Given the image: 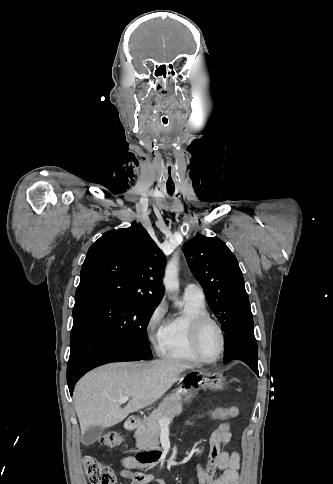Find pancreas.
Returning <instances> with one entry per match:
<instances>
[{
    "label": "pancreas",
    "mask_w": 333,
    "mask_h": 484,
    "mask_svg": "<svg viewBox=\"0 0 333 484\" xmlns=\"http://www.w3.org/2000/svg\"><path fill=\"white\" fill-rule=\"evenodd\" d=\"M181 398L178 394H172L160 403L148 417H145L142 425L135 431L136 446L141 450H159V435L161 426L159 418H174L182 412Z\"/></svg>",
    "instance_id": "obj_1"
}]
</instances>
